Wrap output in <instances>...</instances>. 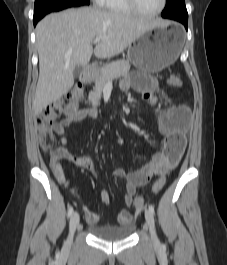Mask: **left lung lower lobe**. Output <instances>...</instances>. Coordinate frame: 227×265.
Here are the masks:
<instances>
[{"label":"left lung lower lobe","instance_id":"left-lung-lower-lobe-1","mask_svg":"<svg viewBox=\"0 0 227 265\" xmlns=\"http://www.w3.org/2000/svg\"><path fill=\"white\" fill-rule=\"evenodd\" d=\"M174 20L181 22L185 26V28L188 29V18H180V19H174Z\"/></svg>","mask_w":227,"mask_h":265}]
</instances>
